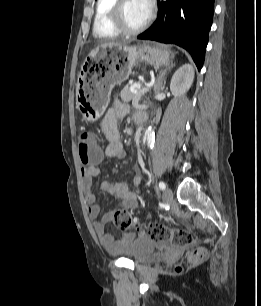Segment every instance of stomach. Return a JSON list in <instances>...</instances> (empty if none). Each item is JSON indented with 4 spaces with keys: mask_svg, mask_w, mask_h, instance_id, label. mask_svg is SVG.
<instances>
[{
    "mask_svg": "<svg viewBox=\"0 0 261 306\" xmlns=\"http://www.w3.org/2000/svg\"><path fill=\"white\" fill-rule=\"evenodd\" d=\"M169 58L170 52L167 49L149 42L94 49L85 59L83 73L77 84L80 112L88 121L97 120L110 102L112 89L128 79L136 63L162 66L169 62Z\"/></svg>",
    "mask_w": 261,
    "mask_h": 306,
    "instance_id": "obj_1",
    "label": "stomach"
}]
</instances>
